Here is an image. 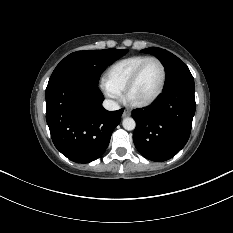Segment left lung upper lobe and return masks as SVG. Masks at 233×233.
I'll list each match as a JSON object with an SVG mask.
<instances>
[{
	"label": "left lung upper lobe",
	"instance_id": "5c2ea615",
	"mask_svg": "<svg viewBox=\"0 0 233 233\" xmlns=\"http://www.w3.org/2000/svg\"><path fill=\"white\" fill-rule=\"evenodd\" d=\"M142 52L155 55L165 67L167 78L164 90L180 85L194 86V78L190 70L174 54L157 47L146 48Z\"/></svg>",
	"mask_w": 233,
	"mask_h": 233
}]
</instances>
